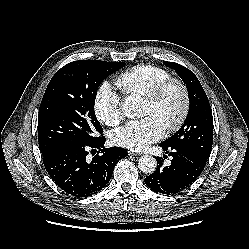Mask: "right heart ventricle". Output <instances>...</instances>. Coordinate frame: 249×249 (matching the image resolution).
Here are the masks:
<instances>
[{
    "mask_svg": "<svg viewBox=\"0 0 249 249\" xmlns=\"http://www.w3.org/2000/svg\"><path fill=\"white\" fill-rule=\"evenodd\" d=\"M170 78L164 68L142 64L121 73L115 80L117 87L125 95H145L160 82Z\"/></svg>",
    "mask_w": 249,
    "mask_h": 249,
    "instance_id": "1",
    "label": "right heart ventricle"
}]
</instances>
